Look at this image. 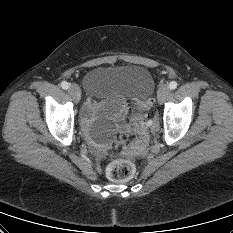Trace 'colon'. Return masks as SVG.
<instances>
[{
  "label": "colon",
  "mask_w": 233,
  "mask_h": 233,
  "mask_svg": "<svg viewBox=\"0 0 233 233\" xmlns=\"http://www.w3.org/2000/svg\"><path fill=\"white\" fill-rule=\"evenodd\" d=\"M151 108V100L142 102L139 105V113L134 118V127L137 132V137L128 148L131 153H138L145 149L149 142L148 131V114L147 111ZM107 176L115 182L127 181L133 177L135 173V165L128 160L117 159L112 161L107 167Z\"/></svg>",
  "instance_id": "obj_1"
}]
</instances>
